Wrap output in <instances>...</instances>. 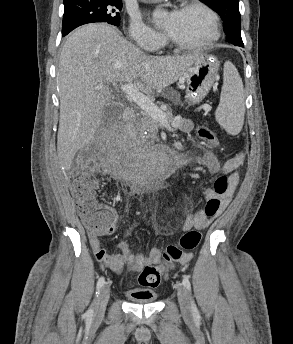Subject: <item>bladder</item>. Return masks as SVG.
<instances>
[{
  "label": "bladder",
  "instance_id": "31cf9c89",
  "mask_svg": "<svg viewBox=\"0 0 293 344\" xmlns=\"http://www.w3.org/2000/svg\"><path fill=\"white\" fill-rule=\"evenodd\" d=\"M126 295L132 301L139 303V304H150V303H153L157 298V295L154 293L136 295V294H134V290L126 291Z\"/></svg>",
  "mask_w": 293,
  "mask_h": 344
}]
</instances>
